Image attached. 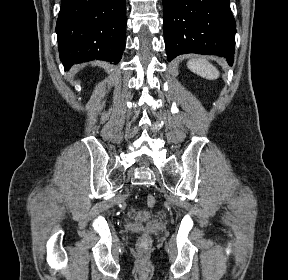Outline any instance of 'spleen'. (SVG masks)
<instances>
[{"instance_id":"3e777b00","label":"spleen","mask_w":288,"mask_h":280,"mask_svg":"<svg viewBox=\"0 0 288 280\" xmlns=\"http://www.w3.org/2000/svg\"><path fill=\"white\" fill-rule=\"evenodd\" d=\"M187 66L191 71L208 80H214L220 76L217 68L203 58L191 59Z\"/></svg>"}]
</instances>
